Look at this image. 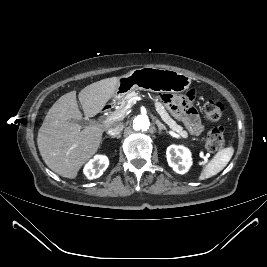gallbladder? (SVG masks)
<instances>
[{
  "label": "gallbladder",
  "mask_w": 267,
  "mask_h": 267,
  "mask_svg": "<svg viewBox=\"0 0 267 267\" xmlns=\"http://www.w3.org/2000/svg\"><path fill=\"white\" fill-rule=\"evenodd\" d=\"M72 122L78 123L81 126H84L86 124V121L84 119L81 120H71Z\"/></svg>",
  "instance_id": "1"
}]
</instances>
